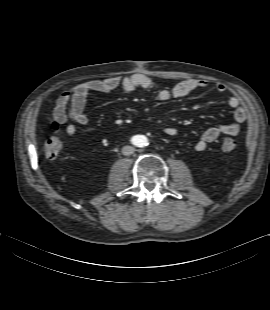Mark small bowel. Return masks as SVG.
Returning <instances> with one entry per match:
<instances>
[{"label": "small bowel", "instance_id": "1", "mask_svg": "<svg viewBox=\"0 0 270 310\" xmlns=\"http://www.w3.org/2000/svg\"><path fill=\"white\" fill-rule=\"evenodd\" d=\"M209 84L202 79H188L181 81L169 89H159L153 78L144 73H133L121 77H110L101 80H86L78 83L73 88L63 92L57 99L54 109V120L59 126L65 127L69 136L76 133V124L87 125L89 118L85 113L87 96L90 92L108 93L120 88L125 93H130L136 88L156 91L162 101L179 99L199 89H206ZM215 91L223 94L227 87L218 83ZM228 105L233 110V122L212 126L206 129L195 144L197 151H202L207 144L217 140L221 135H237L240 132V124L245 122L247 111L242 106L238 96L232 95L228 99ZM168 136H175L177 130L168 126L164 129Z\"/></svg>", "mask_w": 270, "mask_h": 310}]
</instances>
